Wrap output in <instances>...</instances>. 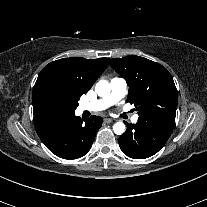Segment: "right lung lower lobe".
Returning <instances> with one entry per match:
<instances>
[{"mask_svg": "<svg viewBox=\"0 0 207 207\" xmlns=\"http://www.w3.org/2000/svg\"><path fill=\"white\" fill-rule=\"evenodd\" d=\"M102 122L99 116L82 120L71 113L47 115L34 120V125L38 136L52 153L60 158L76 159L89 151Z\"/></svg>", "mask_w": 207, "mask_h": 207, "instance_id": "98d812e1", "label": "right lung lower lobe"}]
</instances>
